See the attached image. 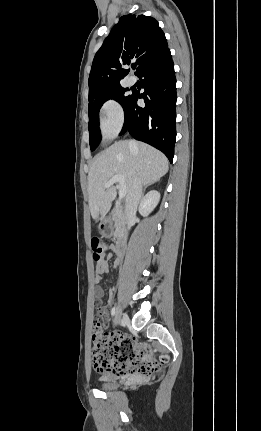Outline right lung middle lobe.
<instances>
[{
	"label": "right lung middle lobe",
	"mask_w": 261,
	"mask_h": 431,
	"mask_svg": "<svg viewBox=\"0 0 261 431\" xmlns=\"http://www.w3.org/2000/svg\"><path fill=\"white\" fill-rule=\"evenodd\" d=\"M128 88H123L120 84L103 90L101 92L92 94L89 96V105H88V113H89V140H90V149L94 151L101 141V133L99 129V110L104 102L109 99L116 100L119 102L123 109L125 108L127 102L129 101L131 95H126Z\"/></svg>",
	"instance_id": "obj_1"
}]
</instances>
